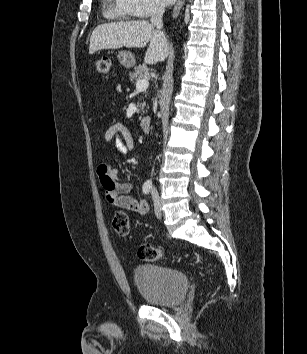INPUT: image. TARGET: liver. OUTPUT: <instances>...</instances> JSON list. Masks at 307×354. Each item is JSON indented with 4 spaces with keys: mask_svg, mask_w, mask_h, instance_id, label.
<instances>
[{
    "mask_svg": "<svg viewBox=\"0 0 307 354\" xmlns=\"http://www.w3.org/2000/svg\"><path fill=\"white\" fill-rule=\"evenodd\" d=\"M149 43L144 62H162L169 54L165 34L146 20L120 21L97 26L92 32L89 54L103 49L143 48Z\"/></svg>",
    "mask_w": 307,
    "mask_h": 354,
    "instance_id": "obj_1",
    "label": "liver"
}]
</instances>
